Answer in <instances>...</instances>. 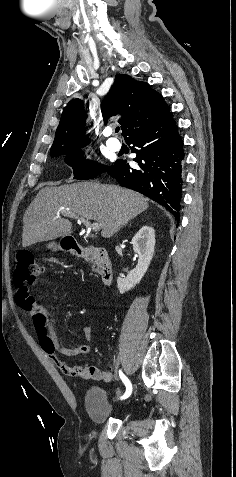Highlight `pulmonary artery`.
<instances>
[{"instance_id":"e3ab8cb5","label":"pulmonary artery","mask_w":236,"mask_h":477,"mask_svg":"<svg viewBox=\"0 0 236 477\" xmlns=\"http://www.w3.org/2000/svg\"><path fill=\"white\" fill-rule=\"evenodd\" d=\"M106 135H110L111 134V130L108 129L104 132ZM106 144L107 146L112 149V150H119L120 147H121V144L120 142L118 141V139L114 138V137H110V138H107L106 140Z\"/></svg>"}]
</instances>
